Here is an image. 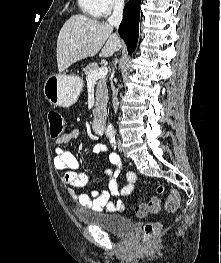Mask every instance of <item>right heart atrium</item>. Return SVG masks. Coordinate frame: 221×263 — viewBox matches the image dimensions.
I'll return each instance as SVG.
<instances>
[{"mask_svg": "<svg viewBox=\"0 0 221 263\" xmlns=\"http://www.w3.org/2000/svg\"><path fill=\"white\" fill-rule=\"evenodd\" d=\"M101 15H107L123 6V0H97Z\"/></svg>", "mask_w": 221, "mask_h": 263, "instance_id": "right-heart-atrium-1", "label": "right heart atrium"}]
</instances>
